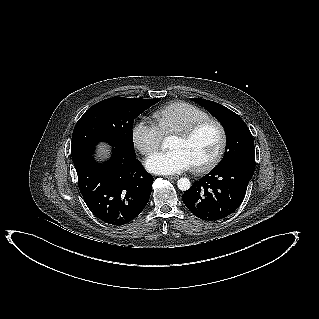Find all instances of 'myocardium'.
Segmentation results:
<instances>
[{"mask_svg": "<svg viewBox=\"0 0 319 319\" xmlns=\"http://www.w3.org/2000/svg\"><path fill=\"white\" fill-rule=\"evenodd\" d=\"M214 126L219 134L218 148L213 157L205 163L192 165L191 168L196 173H205L214 169L222 160L227 146V133L223 124L217 119L205 118L198 120L186 128L173 133V136L183 140L192 138L200 129L205 126Z\"/></svg>", "mask_w": 319, "mask_h": 319, "instance_id": "1", "label": "myocardium"}]
</instances>
